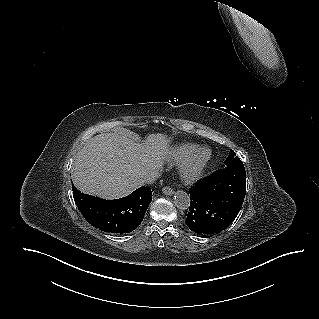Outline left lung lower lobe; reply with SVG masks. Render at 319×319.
<instances>
[{
    "instance_id": "1",
    "label": "left lung lower lobe",
    "mask_w": 319,
    "mask_h": 319,
    "mask_svg": "<svg viewBox=\"0 0 319 319\" xmlns=\"http://www.w3.org/2000/svg\"><path fill=\"white\" fill-rule=\"evenodd\" d=\"M246 193L245 170L222 168L190 189L186 224L198 234L226 229L237 217Z\"/></svg>"
}]
</instances>
